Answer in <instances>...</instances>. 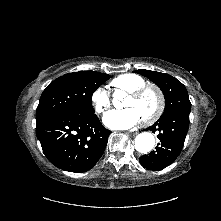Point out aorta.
<instances>
[{
    "label": "aorta",
    "instance_id": "762f6f07",
    "mask_svg": "<svg viewBox=\"0 0 221 221\" xmlns=\"http://www.w3.org/2000/svg\"><path fill=\"white\" fill-rule=\"evenodd\" d=\"M122 92H115L114 98L119 99L121 97ZM155 145V138L149 132H143L136 136L135 138V148L138 152L146 154L150 152Z\"/></svg>",
    "mask_w": 221,
    "mask_h": 221
}]
</instances>
